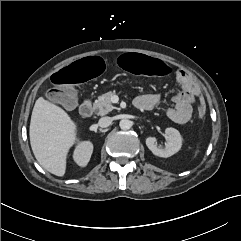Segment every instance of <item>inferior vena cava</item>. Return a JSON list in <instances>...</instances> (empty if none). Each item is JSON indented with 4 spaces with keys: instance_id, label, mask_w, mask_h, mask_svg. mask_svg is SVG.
<instances>
[{
    "instance_id": "602c4592",
    "label": "inferior vena cava",
    "mask_w": 241,
    "mask_h": 241,
    "mask_svg": "<svg viewBox=\"0 0 241 241\" xmlns=\"http://www.w3.org/2000/svg\"><path fill=\"white\" fill-rule=\"evenodd\" d=\"M112 123L111 117H102L98 121V125L102 128L108 127Z\"/></svg>"
}]
</instances>
